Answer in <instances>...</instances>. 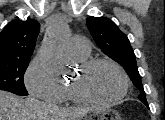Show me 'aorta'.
I'll list each match as a JSON object with an SVG mask.
<instances>
[{"label": "aorta", "instance_id": "aorta-1", "mask_svg": "<svg viewBox=\"0 0 165 120\" xmlns=\"http://www.w3.org/2000/svg\"><path fill=\"white\" fill-rule=\"evenodd\" d=\"M66 36L67 24L60 18H54L38 52L44 65L54 76H60L66 70V61L63 58Z\"/></svg>", "mask_w": 165, "mask_h": 120}]
</instances>
